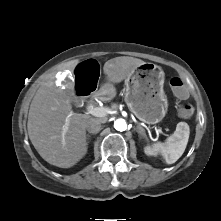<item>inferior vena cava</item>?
Segmentation results:
<instances>
[{
	"label": "inferior vena cava",
	"mask_w": 221,
	"mask_h": 221,
	"mask_svg": "<svg viewBox=\"0 0 221 221\" xmlns=\"http://www.w3.org/2000/svg\"><path fill=\"white\" fill-rule=\"evenodd\" d=\"M101 129V121L98 119L91 118L86 122V130L89 133H97Z\"/></svg>",
	"instance_id": "inferior-vena-cava-1"
}]
</instances>
